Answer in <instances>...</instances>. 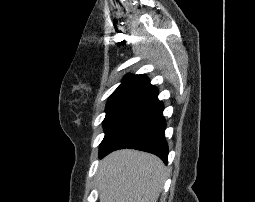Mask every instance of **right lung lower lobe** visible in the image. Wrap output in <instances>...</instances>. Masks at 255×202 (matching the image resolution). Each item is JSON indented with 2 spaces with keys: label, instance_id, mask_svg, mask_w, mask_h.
<instances>
[{
  "label": "right lung lower lobe",
  "instance_id": "98d812e1",
  "mask_svg": "<svg viewBox=\"0 0 255 202\" xmlns=\"http://www.w3.org/2000/svg\"><path fill=\"white\" fill-rule=\"evenodd\" d=\"M165 126L163 103L157 101L135 114L113 137L100 158L117 149L133 148L155 154L167 163Z\"/></svg>",
  "mask_w": 255,
  "mask_h": 202
}]
</instances>
